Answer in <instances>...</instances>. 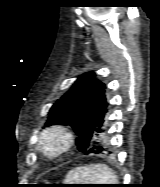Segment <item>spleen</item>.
I'll return each mask as SVG.
<instances>
[{"label": "spleen", "mask_w": 160, "mask_h": 187, "mask_svg": "<svg viewBox=\"0 0 160 187\" xmlns=\"http://www.w3.org/2000/svg\"><path fill=\"white\" fill-rule=\"evenodd\" d=\"M116 181L115 172L104 164L74 168L66 177L68 184H115Z\"/></svg>", "instance_id": "obj_1"}]
</instances>
